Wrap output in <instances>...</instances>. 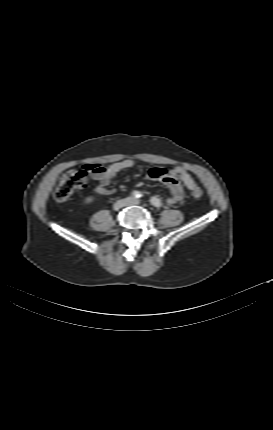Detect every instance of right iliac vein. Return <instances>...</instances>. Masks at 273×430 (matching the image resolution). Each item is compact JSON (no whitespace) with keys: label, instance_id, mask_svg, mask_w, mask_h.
Wrapping results in <instances>:
<instances>
[{"label":"right iliac vein","instance_id":"obj_1","mask_svg":"<svg viewBox=\"0 0 273 430\" xmlns=\"http://www.w3.org/2000/svg\"><path fill=\"white\" fill-rule=\"evenodd\" d=\"M126 205H127V199H121L114 203L113 208L115 210H119Z\"/></svg>","mask_w":273,"mask_h":430}]
</instances>
